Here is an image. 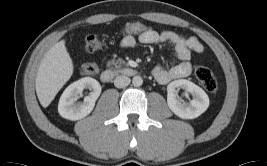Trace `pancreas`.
Returning <instances> with one entry per match:
<instances>
[{
    "mask_svg": "<svg viewBox=\"0 0 267 166\" xmlns=\"http://www.w3.org/2000/svg\"><path fill=\"white\" fill-rule=\"evenodd\" d=\"M124 63L125 62L122 59H118V60L113 59V60L107 62V66L110 68H113L112 66H114L115 68H119Z\"/></svg>",
    "mask_w": 267,
    "mask_h": 166,
    "instance_id": "pancreas-1",
    "label": "pancreas"
}]
</instances>
